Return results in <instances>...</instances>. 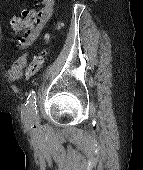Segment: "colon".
I'll return each mask as SVG.
<instances>
[{
    "instance_id": "colon-1",
    "label": "colon",
    "mask_w": 143,
    "mask_h": 170,
    "mask_svg": "<svg viewBox=\"0 0 143 170\" xmlns=\"http://www.w3.org/2000/svg\"><path fill=\"white\" fill-rule=\"evenodd\" d=\"M35 14H36L35 9H32V8L24 9L21 13L22 22L15 23L14 25L16 27H27L34 19ZM60 27H61V23H60V21H57L54 24V29L58 30V29H60ZM47 38H48V35H46L44 39L46 40ZM43 62H44V51L40 50L33 57V60L29 65V67L27 69V76L32 77L35 74H37L39 72V70L41 69Z\"/></svg>"
}]
</instances>
